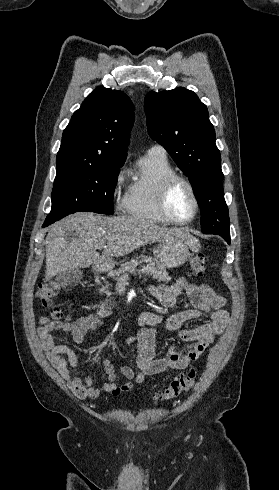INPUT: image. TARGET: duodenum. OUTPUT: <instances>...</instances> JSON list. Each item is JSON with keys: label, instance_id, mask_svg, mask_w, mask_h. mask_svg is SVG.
<instances>
[{"label": "duodenum", "instance_id": "duodenum-1", "mask_svg": "<svg viewBox=\"0 0 279 490\" xmlns=\"http://www.w3.org/2000/svg\"><path fill=\"white\" fill-rule=\"evenodd\" d=\"M102 267H103L102 263L97 264V268L101 269ZM113 308H114V300L107 299L106 301L103 302L99 314L101 316H106L112 312Z\"/></svg>", "mask_w": 279, "mask_h": 490}]
</instances>
